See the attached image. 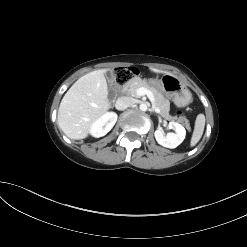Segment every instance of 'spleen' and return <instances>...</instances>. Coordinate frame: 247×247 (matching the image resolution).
I'll list each match as a JSON object with an SVG mask.
<instances>
[{
    "instance_id": "spleen-1",
    "label": "spleen",
    "mask_w": 247,
    "mask_h": 247,
    "mask_svg": "<svg viewBox=\"0 0 247 247\" xmlns=\"http://www.w3.org/2000/svg\"><path fill=\"white\" fill-rule=\"evenodd\" d=\"M205 127V116L204 114H199L195 121L194 131L191 137L190 146H195L203 135Z\"/></svg>"
}]
</instances>
